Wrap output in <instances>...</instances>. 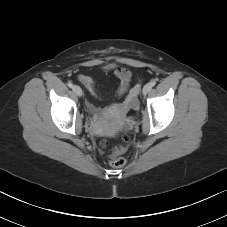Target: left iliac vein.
<instances>
[{
	"label": "left iliac vein",
	"instance_id": "obj_1",
	"mask_svg": "<svg viewBox=\"0 0 227 227\" xmlns=\"http://www.w3.org/2000/svg\"><path fill=\"white\" fill-rule=\"evenodd\" d=\"M152 86L150 83L146 84L144 87H143V90H142V93L144 95H146L150 90H151Z\"/></svg>",
	"mask_w": 227,
	"mask_h": 227
}]
</instances>
